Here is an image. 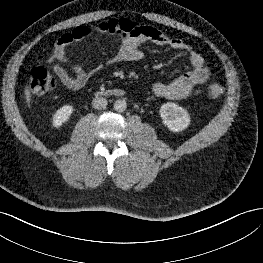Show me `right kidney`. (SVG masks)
I'll return each instance as SVG.
<instances>
[{
    "label": "right kidney",
    "mask_w": 263,
    "mask_h": 263,
    "mask_svg": "<svg viewBox=\"0 0 263 263\" xmlns=\"http://www.w3.org/2000/svg\"><path fill=\"white\" fill-rule=\"evenodd\" d=\"M73 110L74 109L72 105H64L63 107L59 108L53 116L52 126L55 128H60L69 120Z\"/></svg>",
    "instance_id": "1"
}]
</instances>
